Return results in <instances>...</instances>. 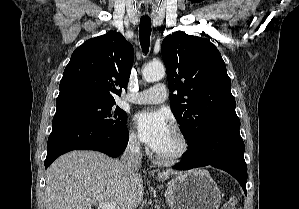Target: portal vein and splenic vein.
<instances>
[{"label":"portal vein and splenic vein","instance_id":"portal-vein-and-splenic-vein-1","mask_svg":"<svg viewBox=\"0 0 299 209\" xmlns=\"http://www.w3.org/2000/svg\"><path fill=\"white\" fill-rule=\"evenodd\" d=\"M92 204H95L97 206H99V208L101 209H120L119 206L116 204V202H97L94 201L92 202Z\"/></svg>","mask_w":299,"mask_h":209}]
</instances>
